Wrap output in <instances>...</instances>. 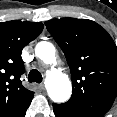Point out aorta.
I'll list each match as a JSON object with an SVG mask.
<instances>
[{
	"label": "aorta",
	"mask_w": 117,
	"mask_h": 117,
	"mask_svg": "<svg viewBox=\"0 0 117 117\" xmlns=\"http://www.w3.org/2000/svg\"><path fill=\"white\" fill-rule=\"evenodd\" d=\"M35 54L46 64L55 62V47L50 42H39L36 45ZM46 89L49 97L56 103L66 102L72 93V85L68 75L59 70L49 71L46 77Z\"/></svg>",
	"instance_id": "762f6f07"
}]
</instances>
